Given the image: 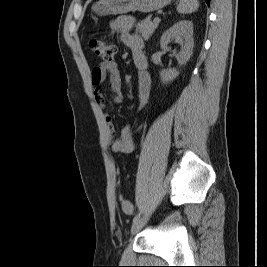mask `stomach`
I'll return each instance as SVG.
<instances>
[{"label":"stomach","instance_id":"stomach-1","mask_svg":"<svg viewBox=\"0 0 267 267\" xmlns=\"http://www.w3.org/2000/svg\"><path fill=\"white\" fill-rule=\"evenodd\" d=\"M171 0H99L92 6L98 15H117L140 11L150 13L167 6Z\"/></svg>","mask_w":267,"mask_h":267}]
</instances>
